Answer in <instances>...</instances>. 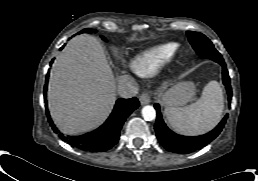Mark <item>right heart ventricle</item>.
Here are the masks:
<instances>
[{
    "label": "right heart ventricle",
    "mask_w": 258,
    "mask_h": 181,
    "mask_svg": "<svg viewBox=\"0 0 258 181\" xmlns=\"http://www.w3.org/2000/svg\"><path fill=\"white\" fill-rule=\"evenodd\" d=\"M178 45L168 42L149 47L137 54L130 63L131 68L140 76H150L168 63L176 54Z\"/></svg>",
    "instance_id": "e07e8e85"
}]
</instances>
